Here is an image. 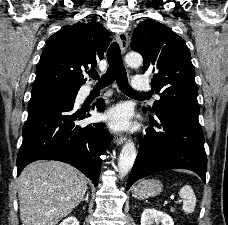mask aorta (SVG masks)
Here are the masks:
<instances>
[{"instance_id": "aorta-1", "label": "aorta", "mask_w": 228, "mask_h": 225, "mask_svg": "<svg viewBox=\"0 0 228 225\" xmlns=\"http://www.w3.org/2000/svg\"><path fill=\"white\" fill-rule=\"evenodd\" d=\"M125 62L128 66H140L143 62V58L139 52H128L125 56ZM136 157L137 151L135 145L132 141H128V143H125L118 159L120 177H126V175H128L135 163Z\"/></svg>"}]
</instances>
